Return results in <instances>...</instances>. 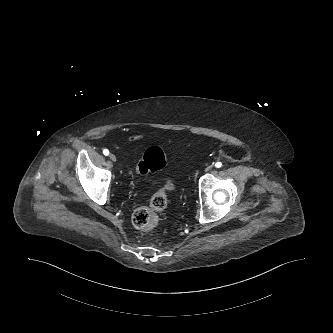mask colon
I'll return each mask as SVG.
<instances>
[{"instance_id":"colon-1","label":"colon","mask_w":333,"mask_h":333,"mask_svg":"<svg viewBox=\"0 0 333 333\" xmlns=\"http://www.w3.org/2000/svg\"><path fill=\"white\" fill-rule=\"evenodd\" d=\"M166 165V156L159 147L148 148L136 164V172L146 175L162 169ZM174 189L170 182L157 191L150 199L148 206L137 208L132 216L134 226L143 231L152 230L158 223V215L167 206V193Z\"/></svg>"}]
</instances>
